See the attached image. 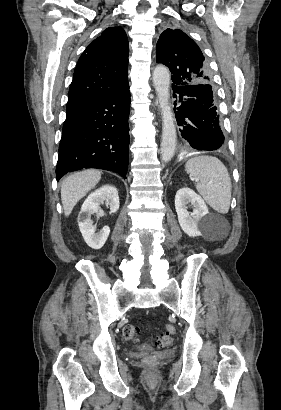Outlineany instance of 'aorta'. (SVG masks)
Returning <instances> with one entry per match:
<instances>
[{
	"mask_svg": "<svg viewBox=\"0 0 281 410\" xmlns=\"http://www.w3.org/2000/svg\"><path fill=\"white\" fill-rule=\"evenodd\" d=\"M153 84L157 93L162 114L161 160L169 162L176 149L177 133L170 104V72L167 67L158 65L153 71Z\"/></svg>",
	"mask_w": 281,
	"mask_h": 410,
	"instance_id": "aorta-1",
	"label": "aorta"
}]
</instances>
